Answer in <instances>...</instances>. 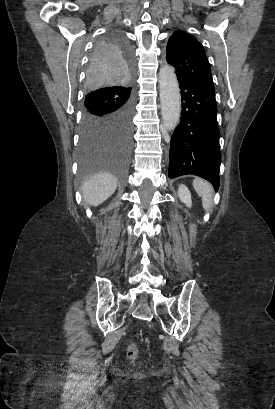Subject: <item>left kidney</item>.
<instances>
[{
  "label": "left kidney",
  "mask_w": 275,
  "mask_h": 409,
  "mask_svg": "<svg viewBox=\"0 0 275 409\" xmlns=\"http://www.w3.org/2000/svg\"><path fill=\"white\" fill-rule=\"evenodd\" d=\"M178 196L180 200H182V202H185V205H187V207H191L192 200L190 190L189 188H187V186H185V184H179Z\"/></svg>",
  "instance_id": "left-kidney-1"
}]
</instances>
